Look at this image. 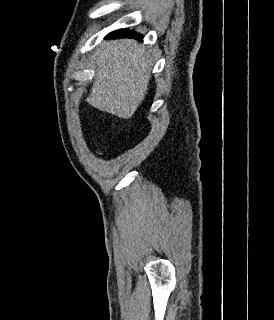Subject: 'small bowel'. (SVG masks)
<instances>
[{"instance_id": "1", "label": "small bowel", "mask_w": 274, "mask_h": 320, "mask_svg": "<svg viewBox=\"0 0 274 320\" xmlns=\"http://www.w3.org/2000/svg\"><path fill=\"white\" fill-rule=\"evenodd\" d=\"M91 151H92L93 153H96V152L98 151V148H97L96 146H93V147L91 148ZM97 157H102V154H97ZM104 160L107 162L109 159L106 157Z\"/></svg>"}]
</instances>
